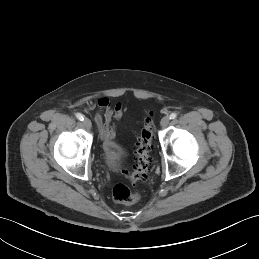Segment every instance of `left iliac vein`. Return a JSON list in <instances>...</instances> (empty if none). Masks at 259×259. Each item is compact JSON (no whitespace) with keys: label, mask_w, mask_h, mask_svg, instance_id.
Here are the masks:
<instances>
[{"label":"left iliac vein","mask_w":259,"mask_h":259,"mask_svg":"<svg viewBox=\"0 0 259 259\" xmlns=\"http://www.w3.org/2000/svg\"><path fill=\"white\" fill-rule=\"evenodd\" d=\"M169 122H170V118L168 116L163 117L160 122L161 127L163 128L167 127Z\"/></svg>","instance_id":"1"}]
</instances>
